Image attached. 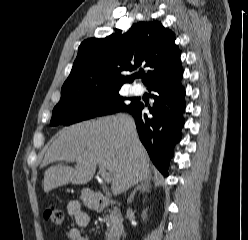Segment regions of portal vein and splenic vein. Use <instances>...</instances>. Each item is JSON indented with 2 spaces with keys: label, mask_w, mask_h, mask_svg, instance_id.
Returning a JSON list of instances; mask_svg holds the SVG:
<instances>
[{
  "label": "portal vein and splenic vein",
  "mask_w": 248,
  "mask_h": 240,
  "mask_svg": "<svg viewBox=\"0 0 248 240\" xmlns=\"http://www.w3.org/2000/svg\"><path fill=\"white\" fill-rule=\"evenodd\" d=\"M100 176L102 177V179L104 181H106L107 183L111 182L112 180V174L110 172H108L105 168L100 167Z\"/></svg>",
  "instance_id": "portal-vein-and-splenic-vein-1"
}]
</instances>
